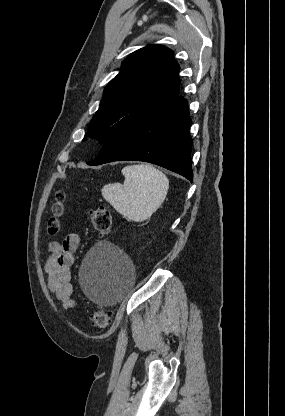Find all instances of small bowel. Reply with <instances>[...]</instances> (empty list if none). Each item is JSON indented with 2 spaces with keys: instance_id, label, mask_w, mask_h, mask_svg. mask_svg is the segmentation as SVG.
<instances>
[{
  "instance_id": "obj_1",
  "label": "small bowel",
  "mask_w": 285,
  "mask_h": 416,
  "mask_svg": "<svg viewBox=\"0 0 285 416\" xmlns=\"http://www.w3.org/2000/svg\"><path fill=\"white\" fill-rule=\"evenodd\" d=\"M80 244V235L71 233L63 241L48 244V256L44 264L47 285L53 296L62 304L65 311L75 307L72 298L71 266Z\"/></svg>"
}]
</instances>
